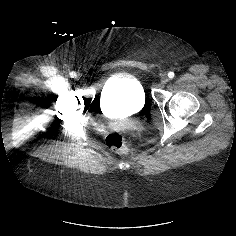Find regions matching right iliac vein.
<instances>
[{"instance_id": "63e3f726", "label": "right iliac vein", "mask_w": 236, "mask_h": 236, "mask_svg": "<svg viewBox=\"0 0 236 236\" xmlns=\"http://www.w3.org/2000/svg\"><path fill=\"white\" fill-rule=\"evenodd\" d=\"M77 79H78V80H81L82 78H81V76H78Z\"/></svg>"}]
</instances>
